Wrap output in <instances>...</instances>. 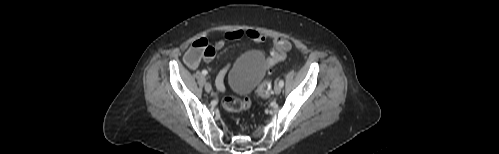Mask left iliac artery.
<instances>
[{
	"label": "left iliac artery",
	"mask_w": 499,
	"mask_h": 154,
	"mask_svg": "<svg viewBox=\"0 0 499 154\" xmlns=\"http://www.w3.org/2000/svg\"><path fill=\"white\" fill-rule=\"evenodd\" d=\"M279 85H280L281 87H283V86H284V81H283V80H280V81H279Z\"/></svg>",
	"instance_id": "left-iliac-artery-1"
}]
</instances>
